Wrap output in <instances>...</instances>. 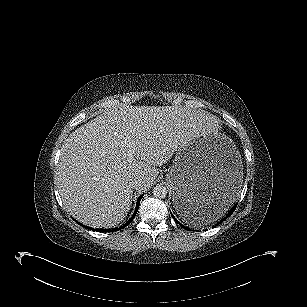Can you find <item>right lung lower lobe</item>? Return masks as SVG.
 Returning a JSON list of instances; mask_svg holds the SVG:
<instances>
[{
	"mask_svg": "<svg viewBox=\"0 0 307 307\" xmlns=\"http://www.w3.org/2000/svg\"><path fill=\"white\" fill-rule=\"evenodd\" d=\"M142 197H143V195H141V196L137 199L135 211H134L132 217L130 218V220H129L126 224H124V225L121 226L120 228H116V229H105V230H103V229H101V230L96 229V230H97L98 232H114V231H117V230H120V229L125 228L127 225H129V224L131 223V221L134 219L135 215L137 214V211H138V208H139V204H140V201H141ZM87 228L90 229L89 227H87ZM92 230H93V229H92Z\"/></svg>",
	"mask_w": 307,
	"mask_h": 307,
	"instance_id": "1",
	"label": "right lung lower lobe"
}]
</instances>
